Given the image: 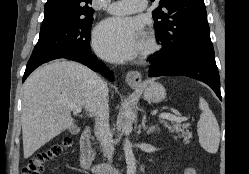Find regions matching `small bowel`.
I'll return each instance as SVG.
<instances>
[{
    "instance_id": "1",
    "label": "small bowel",
    "mask_w": 249,
    "mask_h": 174,
    "mask_svg": "<svg viewBox=\"0 0 249 174\" xmlns=\"http://www.w3.org/2000/svg\"><path fill=\"white\" fill-rule=\"evenodd\" d=\"M183 174H197V173H196V170L194 168L187 167L184 169Z\"/></svg>"
}]
</instances>
